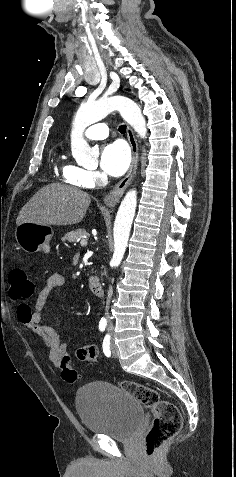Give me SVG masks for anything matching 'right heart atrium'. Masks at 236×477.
Returning <instances> with one entry per match:
<instances>
[{"label": "right heart atrium", "instance_id": "1", "mask_svg": "<svg viewBox=\"0 0 236 477\" xmlns=\"http://www.w3.org/2000/svg\"><path fill=\"white\" fill-rule=\"evenodd\" d=\"M63 174L69 183L76 184L80 187H90L96 185L104 178L99 171L86 169H82L80 171L66 169L64 170Z\"/></svg>", "mask_w": 236, "mask_h": 477}]
</instances>
